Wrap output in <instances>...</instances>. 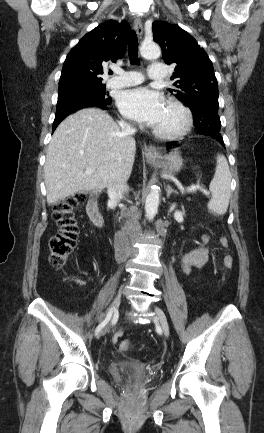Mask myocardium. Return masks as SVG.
I'll list each match as a JSON object with an SVG mask.
<instances>
[{
	"label": "myocardium",
	"mask_w": 264,
	"mask_h": 433,
	"mask_svg": "<svg viewBox=\"0 0 264 433\" xmlns=\"http://www.w3.org/2000/svg\"><path fill=\"white\" fill-rule=\"evenodd\" d=\"M167 106L177 110L182 116V123L179 127L174 130H162L159 128H153L152 132L155 136L165 140H176L185 136L193 125V115L191 110L185 106L182 102L170 99L167 102Z\"/></svg>",
	"instance_id": "f54148a6"
}]
</instances>
